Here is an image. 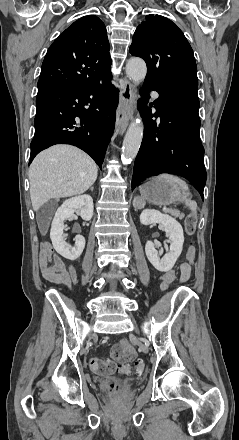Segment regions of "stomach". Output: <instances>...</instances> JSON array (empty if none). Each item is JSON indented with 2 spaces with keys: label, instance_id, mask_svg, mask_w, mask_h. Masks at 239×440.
<instances>
[{
  "label": "stomach",
  "instance_id": "0dacf381",
  "mask_svg": "<svg viewBox=\"0 0 239 440\" xmlns=\"http://www.w3.org/2000/svg\"><path fill=\"white\" fill-rule=\"evenodd\" d=\"M140 194L143 202H150L155 206H169L178 202L180 188L177 184H170L161 178H151L150 182L140 186Z\"/></svg>",
  "mask_w": 239,
  "mask_h": 440
}]
</instances>
